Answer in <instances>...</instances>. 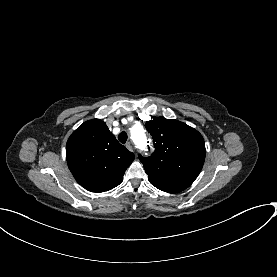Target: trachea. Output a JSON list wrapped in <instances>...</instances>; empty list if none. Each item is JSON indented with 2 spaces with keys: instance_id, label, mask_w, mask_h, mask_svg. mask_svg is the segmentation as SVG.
I'll use <instances>...</instances> for the list:
<instances>
[{
  "instance_id": "trachea-1",
  "label": "trachea",
  "mask_w": 277,
  "mask_h": 277,
  "mask_svg": "<svg viewBox=\"0 0 277 277\" xmlns=\"http://www.w3.org/2000/svg\"><path fill=\"white\" fill-rule=\"evenodd\" d=\"M118 139H119V141H120L121 143L125 144L126 141H127V139H128L127 133L124 132V131L121 132V133L119 134V136H118Z\"/></svg>"
}]
</instances>
